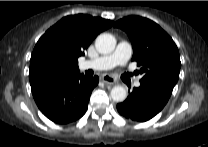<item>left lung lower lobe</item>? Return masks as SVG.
I'll use <instances>...</instances> for the list:
<instances>
[{
  "mask_svg": "<svg viewBox=\"0 0 208 147\" xmlns=\"http://www.w3.org/2000/svg\"><path fill=\"white\" fill-rule=\"evenodd\" d=\"M171 91L155 84L141 83L127 99L117 105L118 112L125 118L145 122L158 114L170 98Z\"/></svg>",
  "mask_w": 208,
  "mask_h": 147,
  "instance_id": "obj_1",
  "label": "left lung lower lobe"
}]
</instances>
